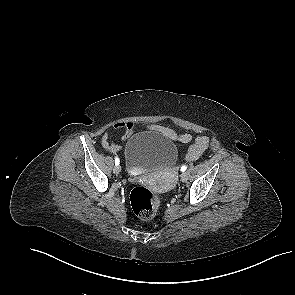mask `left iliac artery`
I'll return each mask as SVG.
<instances>
[{"label": "left iliac artery", "mask_w": 295, "mask_h": 295, "mask_svg": "<svg viewBox=\"0 0 295 295\" xmlns=\"http://www.w3.org/2000/svg\"><path fill=\"white\" fill-rule=\"evenodd\" d=\"M186 169H187V166L186 165H184V166L181 167V171L182 172H184Z\"/></svg>", "instance_id": "obj_1"}]
</instances>
